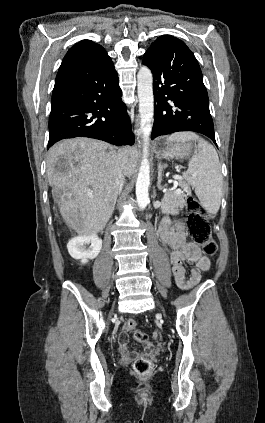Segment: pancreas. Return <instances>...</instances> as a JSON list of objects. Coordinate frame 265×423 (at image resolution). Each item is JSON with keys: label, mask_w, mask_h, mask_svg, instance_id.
Returning a JSON list of instances; mask_svg holds the SVG:
<instances>
[{"label": "pancreas", "mask_w": 265, "mask_h": 423, "mask_svg": "<svg viewBox=\"0 0 265 423\" xmlns=\"http://www.w3.org/2000/svg\"><path fill=\"white\" fill-rule=\"evenodd\" d=\"M179 185L184 189V191L188 192V186L185 183L179 182ZM184 191L177 193V191L174 190L165 193L164 198L162 199V213L171 215L179 214V211L185 205L184 197L186 195L184 194Z\"/></svg>", "instance_id": "cf45deb5"}]
</instances>
